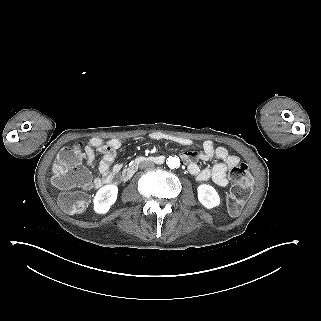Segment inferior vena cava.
Listing matches in <instances>:
<instances>
[{
    "label": "inferior vena cava",
    "mask_w": 321,
    "mask_h": 321,
    "mask_svg": "<svg viewBox=\"0 0 321 321\" xmlns=\"http://www.w3.org/2000/svg\"><path fill=\"white\" fill-rule=\"evenodd\" d=\"M153 166H154V163L152 161H149V160L141 161L140 164H139V168L140 169H144V168H147V167H153Z\"/></svg>",
    "instance_id": "1"
}]
</instances>
